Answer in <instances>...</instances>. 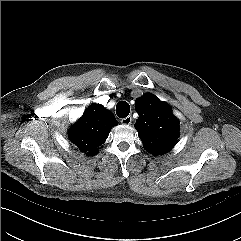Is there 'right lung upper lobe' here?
<instances>
[{"instance_id": "cb5924a9", "label": "right lung upper lobe", "mask_w": 241, "mask_h": 241, "mask_svg": "<svg viewBox=\"0 0 241 241\" xmlns=\"http://www.w3.org/2000/svg\"><path fill=\"white\" fill-rule=\"evenodd\" d=\"M116 124L115 116L110 111L102 105L92 104L69 130V139L81 152L95 155Z\"/></svg>"}]
</instances>
